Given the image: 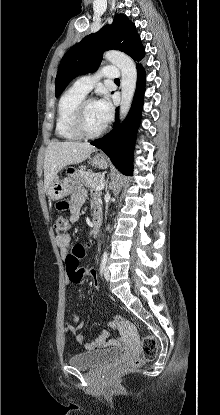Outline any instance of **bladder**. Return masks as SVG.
<instances>
[{"instance_id":"bladder-1","label":"bladder","mask_w":220,"mask_h":415,"mask_svg":"<svg viewBox=\"0 0 220 415\" xmlns=\"http://www.w3.org/2000/svg\"><path fill=\"white\" fill-rule=\"evenodd\" d=\"M125 348L116 347L106 350L84 351L70 358L69 364L79 369H90L116 361L123 357Z\"/></svg>"}]
</instances>
